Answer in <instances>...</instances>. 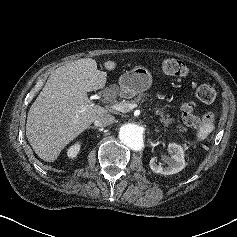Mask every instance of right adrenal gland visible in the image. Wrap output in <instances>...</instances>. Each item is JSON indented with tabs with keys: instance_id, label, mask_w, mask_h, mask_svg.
Masks as SVG:
<instances>
[{
	"instance_id": "obj_1",
	"label": "right adrenal gland",
	"mask_w": 237,
	"mask_h": 237,
	"mask_svg": "<svg viewBox=\"0 0 237 237\" xmlns=\"http://www.w3.org/2000/svg\"><path fill=\"white\" fill-rule=\"evenodd\" d=\"M88 129H97L96 127H93V126H91V127H88Z\"/></svg>"
}]
</instances>
